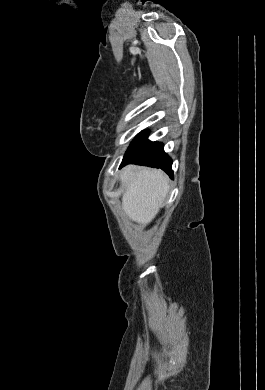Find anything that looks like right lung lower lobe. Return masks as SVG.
Listing matches in <instances>:
<instances>
[{
	"label": "right lung lower lobe",
	"instance_id": "98d812e1",
	"mask_svg": "<svg viewBox=\"0 0 265 390\" xmlns=\"http://www.w3.org/2000/svg\"><path fill=\"white\" fill-rule=\"evenodd\" d=\"M148 132H141L131 143L124 155L120 167L134 163L154 168H161L170 178H173L172 160L164 152L163 144L147 139Z\"/></svg>",
	"mask_w": 265,
	"mask_h": 390
}]
</instances>
